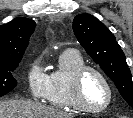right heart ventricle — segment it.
<instances>
[{
    "instance_id": "right-heart-ventricle-1",
    "label": "right heart ventricle",
    "mask_w": 133,
    "mask_h": 118,
    "mask_svg": "<svg viewBox=\"0 0 133 118\" xmlns=\"http://www.w3.org/2000/svg\"><path fill=\"white\" fill-rule=\"evenodd\" d=\"M85 65L77 50L67 49L59 55L56 68L48 75L45 99L49 104L62 109H79L72 96V82L76 72Z\"/></svg>"
}]
</instances>
